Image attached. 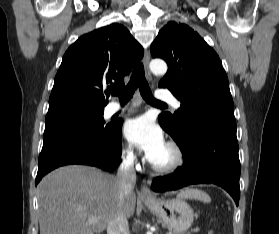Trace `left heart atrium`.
<instances>
[{"label": "left heart atrium", "mask_w": 279, "mask_h": 234, "mask_svg": "<svg viewBox=\"0 0 279 234\" xmlns=\"http://www.w3.org/2000/svg\"><path fill=\"white\" fill-rule=\"evenodd\" d=\"M124 133L130 143L146 153L150 161L166 147L161 128L149 116L143 115L128 120Z\"/></svg>", "instance_id": "1"}]
</instances>
